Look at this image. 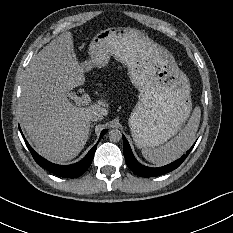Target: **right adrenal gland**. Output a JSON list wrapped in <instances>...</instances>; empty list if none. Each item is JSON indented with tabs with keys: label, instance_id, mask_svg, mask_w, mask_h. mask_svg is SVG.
<instances>
[{
	"label": "right adrenal gland",
	"instance_id": "2a0ac1e0",
	"mask_svg": "<svg viewBox=\"0 0 233 233\" xmlns=\"http://www.w3.org/2000/svg\"><path fill=\"white\" fill-rule=\"evenodd\" d=\"M95 124H91L90 125V132H89V136L91 135V132H92V128L94 127Z\"/></svg>",
	"mask_w": 233,
	"mask_h": 233
}]
</instances>
